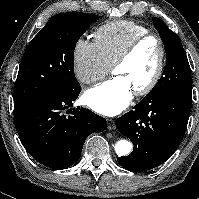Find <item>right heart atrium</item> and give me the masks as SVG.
I'll list each match as a JSON object with an SVG mask.
<instances>
[{"label": "right heart atrium", "mask_w": 199, "mask_h": 199, "mask_svg": "<svg viewBox=\"0 0 199 199\" xmlns=\"http://www.w3.org/2000/svg\"><path fill=\"white\" fill-rule=\"evenodd\" d=\"M73 70L81 84L94 83L110 72L95 42L79 39L73 51Z\"/></svg>", "instance_id": "d8ad5b80"}]
</instances>
